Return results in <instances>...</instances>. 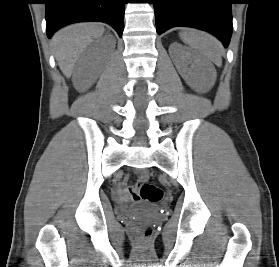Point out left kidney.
Here are the masks:
<instances>
[{
    "label": "left kidney",
    "mask_w": 279,
    "mask_h": 267,
    "mask_svg": "<svg viewBox=\"0 0 279 267\" xmlns=\"http://www.w3.org/2000/svg\"><path fill=\"white\" fill-rule=\"evenodd\" d=\"M191 60V66H188ZM174 64L185 82L194 90L202 91L211 87L210 75L208 74V64L196 53L180 48L178 55L174 59Z\"/></svg>",
    "instance_id": "1"
}]
</instances>
